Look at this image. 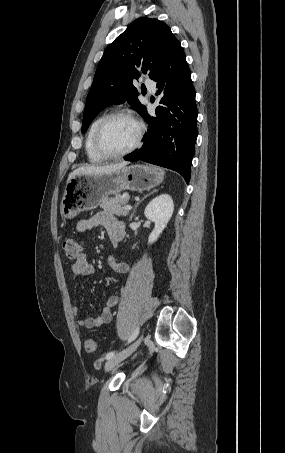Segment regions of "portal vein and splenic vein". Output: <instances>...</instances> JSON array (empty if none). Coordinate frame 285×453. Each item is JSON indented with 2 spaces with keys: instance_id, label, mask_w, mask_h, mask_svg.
Segmentation results:
<instances>
[{
  "instance_id": "1",
  "label": "portal vein and splenic vein",
  "mask_w": 285,
  "mask_h": 453,
  "mask_svg": "<svg viewBox=\"0 0 285 453\" xmlns=\"http://www.w3.org/2000/svg\"><path fill=\"white\" fill-rule=\"evenodd\" d=\"M124 208H125L126 210H131V209H132V206H131V205H125Z\"/></svg>"
}]
</instances>
